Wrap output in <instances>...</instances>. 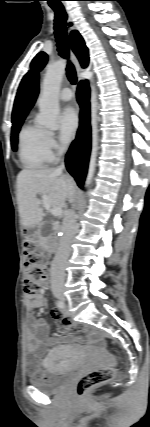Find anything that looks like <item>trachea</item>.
Here are the masks:
<instances>
[{"instance_id": "obj_1", "label": "trachea", "mask_w": 150, "mask_h": 427, "mask_svg": "<svg viewBox=\"0 0 150 427\" xmlns=\"http://www.w3.org/2000/svg\"><path fill=\"white\" fill-rule=\"evenodd\" d=\"M49 5L55 12L54 33L59 55L68 60L66 67L67 78L72 84H76L77 76L75 68L69 60L68 37L66 31L67 13L61 3H49Z\"/></svg>"}]
</instances>
